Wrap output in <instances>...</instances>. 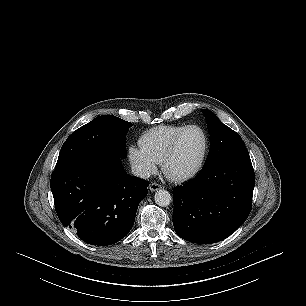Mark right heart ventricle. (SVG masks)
I'll return each mask as SVG.
<instances>
[{
  "label": "right heart ventricle",
  "mask_w": 306,
  "mask_h": 306,
  "mask_svg": "<svg viewBox=\"0 0 306 306\" xmlns=\"http://www.w3.org/2000/svg\"><path fill=\"white\" fill-rule=\"evenodd\" d=\"M184 125H162L149 129L139 139L140 146L161 163L174 138Z\"/></svg>",
  "instance_id": "e07e8e85"
}]
</instances>
